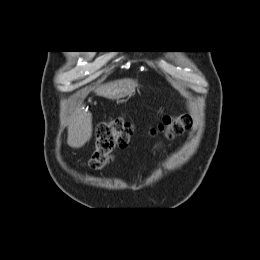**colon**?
Listing matches in <instances>:
<instances>
[{"mask_svg":"<svg viewBox=\"0 0 260 260\" xmlns=\"http://www.w3.org/2000/svg\"><path fill=\"white\" fill-rule=\"evenodd\" d=\"M188 114L166 116L161 124L152 129V134L165 139H173L182 135L191 126ZM133 134L132 125L122 118H113L98 124L96 129L95 149L90 158L92 170H101L112 160L116 148L126 147Z\"/></svg>","mask_w":260,"mask_h":260,"instance_id":"1","label":"colon"}]
</instances>
